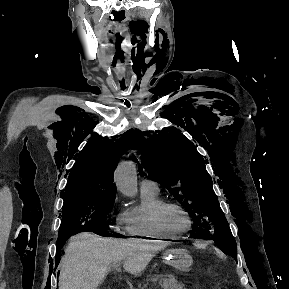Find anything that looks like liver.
Returning <instances> with one entry per match:
<instances>
[{
	"instance_id": "obj_1",
	"label": "liver",
	"mask_w": 289,
	"mask_h": 289,
	"mask_svg": "<svg viewBox=\"0 0 289 289\" xmlns=\"http://www.w3.org/2000/svg\"><path fill=\"white\" fill-rule=\"evenodd\" d=\"M168 242L102 238L93 233L72 237L61 261L58 289H97L112 264L123 261L124 270L139 275Z\"/></svg>"
}]
</instances>
